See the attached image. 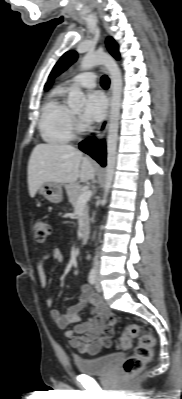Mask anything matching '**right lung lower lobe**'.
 Here are the masks:
<instances>
[{
  "label": "right lung lower lobe",
  "instance_id": "1",
  "mask_svg": "<svg viewBox=\"0 0 182 399\" xmlns=\"http://www.w3.org/2000/svg\"><path fill=\"white\" fill-rule=\"evenodd\" d=\"M80 149L91 155L102 166L106 165V151L103 141H97L94 137L88 138L81 142Z\"/></svg>",
  "mask_w": 182,
  "mask_h": 399
}]
</instances>
